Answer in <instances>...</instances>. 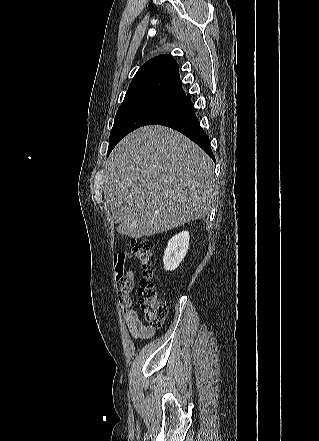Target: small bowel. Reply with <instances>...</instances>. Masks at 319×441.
Here are the masks:
<instances>
[{"label": "small bowel", "mask_w": 319, "mask_h": 441, "mask_svg": "<svg viewBox=\"0 0 319 441\" xmlns=\"http://www.w3.org/2000/svg\"><path fill=\"white\" fill-rule=\"evenodd\" d=\"M129 258L130 255L124 252L116 253L114 256L115 266H123L125 273L123 287L119 289V300L130 333L136 338L147 339L153 336L155 329L143 324L133 308L130 293L134 288V273L130 268H125V263Z\"/></svg>", "instance_id": "1"}]
</instances>
